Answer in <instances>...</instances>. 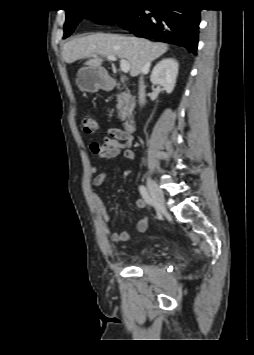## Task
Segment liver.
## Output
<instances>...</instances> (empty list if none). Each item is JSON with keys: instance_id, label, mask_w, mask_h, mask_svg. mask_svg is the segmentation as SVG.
<instances>
[{"instance_id": "1", "label": "liver", "mask_w": 254, "mask_h": 355, "mask_svg": "<svg viewBox=\"0 0 254 355\" xmlns=\"http://www.w3.org/2000/svg\"><path fill=\"white\" fill-rule=\"evenodd\" d=\"M167 50L168 45L143 38L95 33L65 43L62 56L68 64L79 59H88L87 65L101 67L103 57L114 55L130 63V75L135 77L142 73L145 67L147 73L151 62Z\"/></svg>"}]
</instances>
